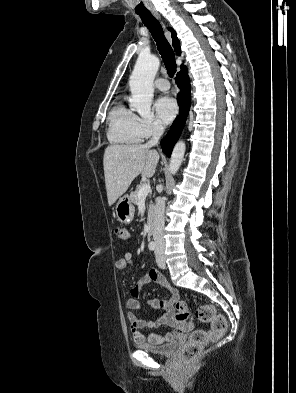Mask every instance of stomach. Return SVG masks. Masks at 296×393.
<instances>
[{
    "mask_svg": "<svg viewBox=\"0 0 296 393\" xmlns=\"http://www.w3.org/2000/svg\"><path fill=\"white\" fill-rule=\"evenodd\" d=\"M116 217L121 223L128 224L134 218L135 207L128 195H124L116 204Z\"/></svg>",
    "mask_w": 296,
    "mask_h": 393,
    "instance_id": "0dacf381",
    "label": "stomach"
}]
</instances>
